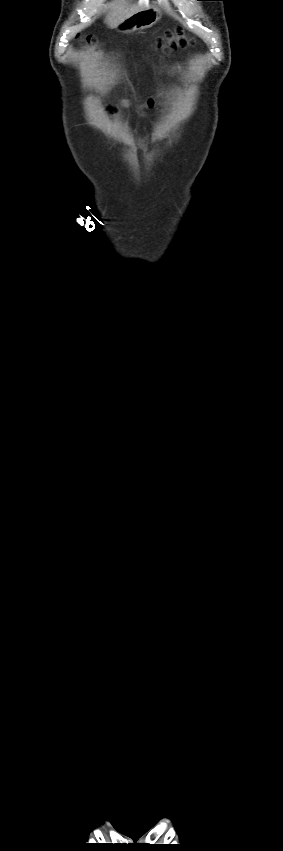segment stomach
Returning a JSON list of instances; mask_svg holds the SVG:
<instances>
[{
  "instance_id": "0dacf381",
  "label": "stomach",
  "mask_w": 283,
  "mask_h": 851,
  "mask_svg": "<svg viewBox=\"0 0 283 851\" xmlns=\"http://www.w3.org/2000/svg\"><path fill=\"white\" fill-rule=\"evenodd\" d=\"M160 19V11L156 8L149 7L142 9L116 25V29L122 33H131L138 30H144L152 27Z\"/></svg>"
}]
</instances>
